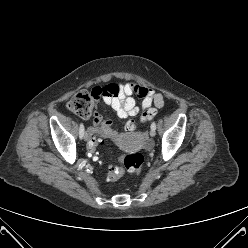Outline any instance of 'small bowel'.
<instances>
[{
  "mask_svg": "<svg viewBox=\"0 0 248 248\" xmlns=\"http://www.w3.org/2000/svg\"><path fill=\"white\" fill-rule=\"evenodd\" d=\"M114 85L118 87V93L111 94L108 92L103 96V101L111 106L120 118L136 116L152 104L157 108L164 106L163 96L144 85L131 82ZM133 95L142 98L140 106L136 103ZM89 131L111 138L119 136V132L112 128V122L110 120H102L101 115L98 113L94 114L93 123Z\"/></svg>",
  "mask_w": 248,
  "mask_h": 248,
  "instance_id": "c3829d8e",
  "label": "small bowel"
}]
</instances>
